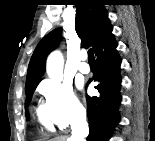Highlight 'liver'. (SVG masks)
Segmentation results:
<instances>
[{"mask_svg": "<svg viewBox=\"0 0 155 141\" xmlns=\"http://www.w3.org/2000/svg\"><path fill=\"white\" fill-rule=\"evenodd\" d=\"M51 141H68V140H67L66 137L61 136V137L54 138V139H52Z\"/></svg>", "mask_w": 155, "mask_h": 141, "instance_id": "liver-1", "label": "liver"}]
</instances>
